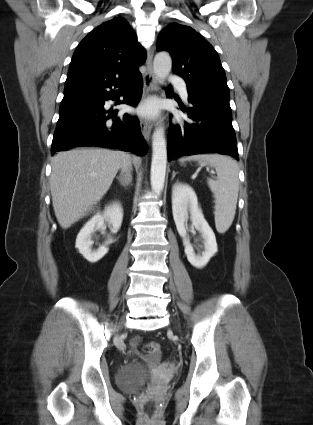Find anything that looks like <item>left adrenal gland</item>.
<instances>
[{
    "label": "left adrenal gland",
    "instance_id": "obj_1",
    "mask_svg": "<svg viewBox=\"0 0 313 425\" xmlns=\"http://www.w3.org/2000/svg\"><path fill=\"white\" fill-rule=\"evenodd\" d=\"M176 174H177V172H175V171L172 172V178H171V180L174 179V177H175Z\"/></svg>",
    "mask_w": 313,
    "mask_h": 425
}]
</instances>
